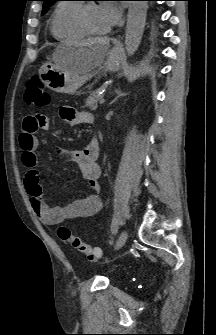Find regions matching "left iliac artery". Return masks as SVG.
<instances>
[{"label": "left iliac artery", "instance_id": "obj_1", "mask_svg": "<svg viewBox=\"0 0 216 335\" xmlns=\"http://www.w3.org/2000/svg\"><path fill=\"white\" fill-rule=\"evenodd\" d=\"M119 225L117 223L112 224L111 231L113 235H116L118 233Z\"/></svg>", "mask_w": 216, "mask_h": 335}]
</instances>
